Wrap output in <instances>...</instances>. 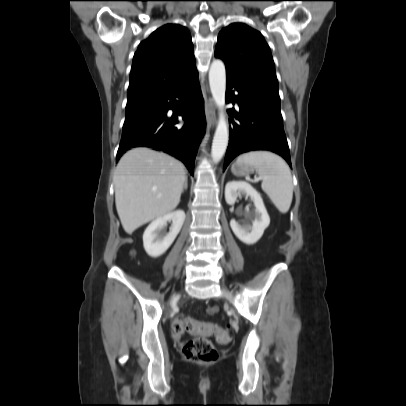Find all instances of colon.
I'll list each match as a JSON object with an SVG mask.
<instances>
[{"mask_svg":"<svg viewBox=\"0 0 406 406\" xmlns=\"http://www.w3.org/2000/svg\"><path fill=\"white\" fill-rule=\"evenodd\" d=\"M173 328L176 334L183 335L186 333L195 335H204L214 333L220 344H227L230 341V335L227 331L222 330L215 324L198 321L192 317L179 315ZM184 357L195 363H211L218 358V353L213 344L204 337H196L187 340L182 345Z\"/></svg>","mask_w":406,"mask_h":406,"instance_id":"1","label":"colon"}]
</instances>
